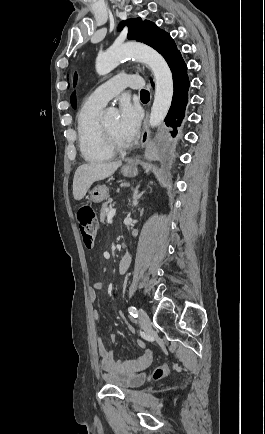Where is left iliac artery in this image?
<instances>
[{"label":"left iliac artery","mask_w":265,"mask_h":434,"mask_svg":"<svg viewBox=\"0 0 265 434\" xmlns=\"http://www.w3.org/2000/svg\"><path fill=\"white\" fill-rule=\"evenodd\" d=\"M128 311H129L130 315L133 316L134 318L138 317V311H137L136 307L130 306L128 308Z\"/></svg>","instance_id":"44dca946"}]
</instances>
